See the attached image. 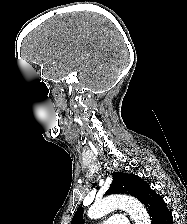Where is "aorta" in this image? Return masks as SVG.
Instances as JSON below:
<instances>
[{
	"label": "aorta",
	"instance_id": "762f6f07",
	"mask_svg": "<svg viewBox=\"0 0 187 224\" xmlns=\"http://www.w3.org/2000/svg\"><path fill=\"white\" fill-rule=\"evenodd\" d=\"M117 208L128 212L135 224H151L144 206L137 199L128 196H110L95 202L88 210V217L97 219Z\"/></svg>",
	"mask_w": 187,
	"mask_h": 224
}]
</instances>
